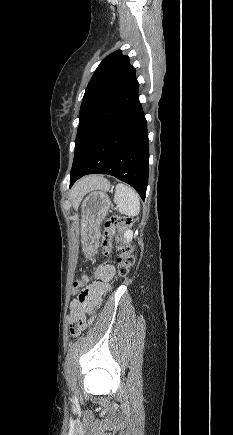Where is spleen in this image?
Segmentation results:
<instances>
[{"label":"spleen","instance_id":"1","mask_svg":"<svg viewBox=\"0 0 233 435\" xmlns=\"http://www.w3.org/2000/svg\"><path fill=\"white\" fill-rule=\"evenodd\" d=\"M114 202L118 211L126 216H137L140 212V198L137 192L125 184H118L115 188Z\"/></svg>","mask_w":233,"mask_h":435}]
</instances>
